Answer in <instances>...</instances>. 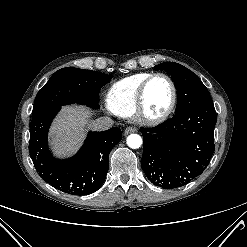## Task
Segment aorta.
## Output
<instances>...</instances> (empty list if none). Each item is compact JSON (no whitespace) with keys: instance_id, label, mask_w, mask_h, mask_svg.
Instances as JSON below:
<instances>
[{"instance_id":"762f6f07","label":"aorta","mask_w":247,"mask_h":247,"mask_svg":"<svg viewBox=\"0 0 247 247\" xmlns=\"http://www.w3.org/2000/svg\"><path fill=\"white\" fill-rule=\"evenodd\" d=\"M127 145L132 149H137L142 145V138L138 134H130L127 139Z\"/></svg>"}]
</instances>
